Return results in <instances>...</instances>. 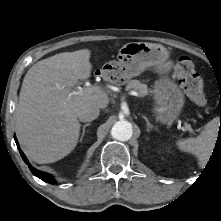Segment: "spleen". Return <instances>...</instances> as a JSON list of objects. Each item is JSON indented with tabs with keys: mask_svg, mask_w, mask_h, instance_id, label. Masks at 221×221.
<instances>
[{
	"mask_svg": "<svg viewBox=\"0 0 221 221\" xmlns=\"http://www.w3.org/2000/svg\"><path fill=\"white\" fill-rule=\"evenodd\" d=\"M219 130V119L214 118L208 122L201 134L196 138H188L177 142L180 150L194 154L203 167L213 151Z\"/></svg>",
	"mask_w": 221,
	"mask_h": 221,
	"instance_id": "1",
	"label": "spleen"
}]
</instances>
